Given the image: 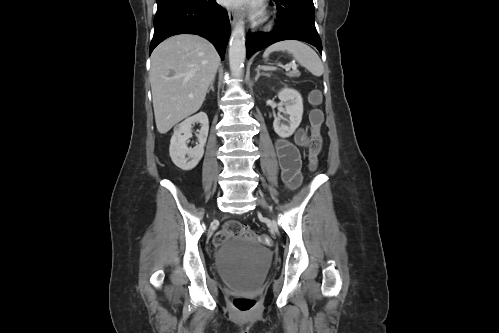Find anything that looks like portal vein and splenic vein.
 Masks as SVG:
<instances>
[{
    "label": "portal vein and splenic vein",
    "mask_w": 499,
    "mask_h": 333,
    "mask_svg": "<svg viewBox=\"0 0 499 333\" xmlns=\"http://www.w3.org/2000/svg\"><path fill=\"white\" fill-rule=\"evenodd\" d=\"M290 68H292V69H297V66H296L295 64H289V65H286V66H285V69H286V70H289Z\"/></svg>",
    "instance_id": "18ae733b"
}]
</instances>
